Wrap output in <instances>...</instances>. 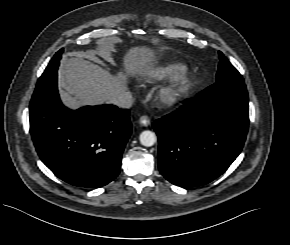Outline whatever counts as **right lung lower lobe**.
<instances>
[{
  "instance_id": "right-lung-lower-lobe-1",
  "label": "right lung lower lobe",
  "mask_w": 290,
  "mask_h": 245,
  "mask_svg": "<svg viewBox=\"0 0 290 245\" xmlns=\"http://www.w3.org/2000/svg\"><path fill=\"white\" fill-rule=\"evenodd\" d=\"M132 131L128 109L63 106L57 71L41 76L30 102V132L44 164L63 181L98 188L114 180Z\"/></svg>"
}]
</instances>
